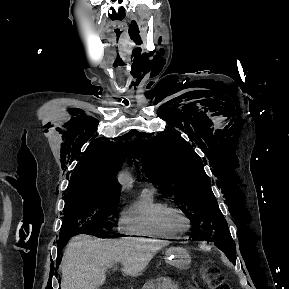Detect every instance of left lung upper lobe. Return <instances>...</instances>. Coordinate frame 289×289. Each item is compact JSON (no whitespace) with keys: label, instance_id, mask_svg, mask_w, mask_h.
Wrapping results in <instances>:
<instances>
[{"label":"left lung upper lobe","instance_id":"left-lung-upper-lobe-1","mask_svg":"<svg viewBox=\"0 0 289 289\" xmlns=\"http://www.w3.org/2000/svg\"><path fill=\"white\" fill-rule=\"evenodd\" d=\"M168 133L143 142L141 154L145 180L157 184L190 218L191 239L214 242L235 263L234 241L211 190L202 160L179 134Z\"/></svg>","mask_w":289,"mask_h":289}]
</instances>
